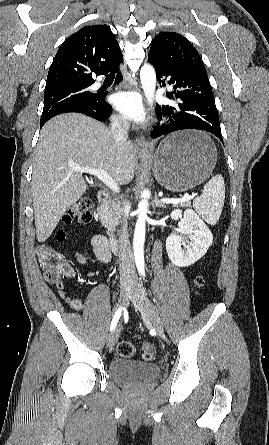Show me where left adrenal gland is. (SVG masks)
Segmentation results:
<instances>
[{"label":"left adrenal gland","mask_w":269,"mask_h":445,"mask_svg":"<svg viewBox=\"0 0 269 445\" xmlns=\"http://www.w3.org/2000/svg\"><path fill=\"white\" fill-rule=\"evenodd\" d=\"M153 207L164 208L165 205H164V203L159 202L157 196H155V200L153 202Z\"/></svg>","instance_id":"a2214340"}]
</instances>
